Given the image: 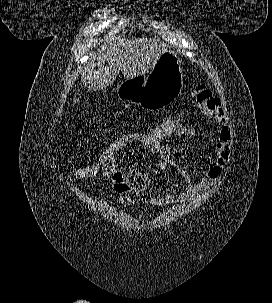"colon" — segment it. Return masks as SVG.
Wrapping results in <instances>:
<instances>
[{
    "label": "colon",
    "instance_id": "obj_1",
    "mask_svg": "<svg viewBox=\"0 0 272 303\" xmlns=\"http://www.w3.org/2000/svg\"><path fill=\"white\" fill-rule=\"evenodd\" d=\"M187 126L179 112L168 114L150 128L116 136L96 158L72 167L69 175L76 181H83L111 173L117 169L115 158L121 153L133 148L164 144L167 139L176 136ZM150 182L151 177L145 175L141 186L136 191L121 197V200L130 204L145 201L149 195Z\"/></svg>",
    "mask_w": 272,
    "mask_h": 303
}]
</instances>
